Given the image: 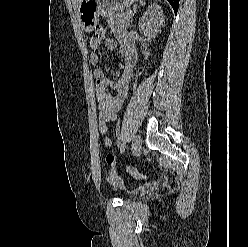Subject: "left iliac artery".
Listing matches in <instances>:
<instances>
[{
    "mask_svg": "<svg viewBox=\"0 0 248 247\" xmlns=\"http://www.w3.org/2000/svg\"><path fill=\"white\" fill-rule=\"evenodd\" d=\"M120 150H121V153H123V152H124V150H125V143H122V144H121V148H120Z\"/></svg>",
    "mask_w": 248,
    "mask_h": 247,
    "instance_id": "obj_1",
    "label": "left iliac artery"
}]
</instances>
